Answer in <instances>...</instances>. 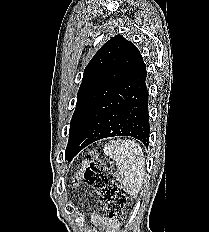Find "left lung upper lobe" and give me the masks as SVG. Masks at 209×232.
I'll list each match as a JSON object with an SVG mask.
<instances>
[{
  "label": "left lung upper lobe",
  "mask_w": 209,
  "mask_h": 232,
  "mask_svg": "<svg viewBox=\"0 0 209 232\" xmlns=\"http://www.w3.org/2000/svg\"><path fill=\"white\" fill-rule=\"evenodd\" d=\"M138 51L133 43L121 35H116L106 42L88 63L84 70L77 95L76 109L70 123L65 158H69V144L78 127L87 114L108 98L123 81Z\"/></svg>",
  "instance_id": "5c2ea615"
}]
</instances>
